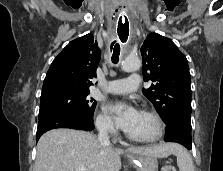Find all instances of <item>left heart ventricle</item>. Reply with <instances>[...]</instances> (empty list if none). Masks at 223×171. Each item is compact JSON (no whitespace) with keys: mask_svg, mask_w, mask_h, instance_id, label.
<instances>
[{"mask_svg":"<svg viewBox=\"0 0 223 171\" xmlns=\"http://www.w3.org/2000/svg\"><path fill=\"white\" fill-rule=\"evenodd\" d=\"M157 132V126L153 118L150 116L138 113L132 126L127 133L136 138H150L153 137Z\"/></svg>","mask_w":223,"mask_h":171,"instance_id":"b2bd125f","label":"left heart ventricle"}]
</instances>
